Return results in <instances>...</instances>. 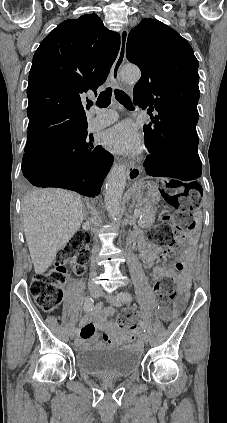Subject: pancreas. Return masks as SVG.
I'll list each match as a JSON object with an SVG mask.
<instances>
[{"instance_id": "pancreas-1", "label": "pancreas", "mask_w": 227, "mask_h": 423, "mask_svg": "<svg viewBox=\"0 0 227 423\" xmlns=\"http://www.w3.org/2000/svg\"><path fill=\"white\" fill-rule=\"evenodd\" d=\"M139 210L142 215L141 219L138 221L140 227H148L155 219L156 208H154V206H141Z\"/></svg>"}]
</instances>
